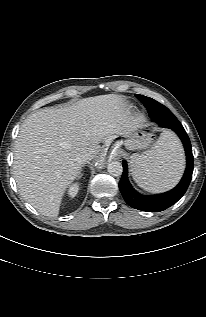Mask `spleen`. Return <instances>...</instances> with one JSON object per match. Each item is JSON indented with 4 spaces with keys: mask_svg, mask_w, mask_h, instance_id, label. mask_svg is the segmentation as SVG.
Here are the masks:
<instances>
[{
    "mask_svg": "<svg viewBox=\"0 0 206 317\" xmlns=\"http://www.w3.org/2000/svg\"><path fill=\"white\" fill-rule=\"evenodd\" d=\"M134 181L146 191L163 192L174 187L184 169V153L180 141L170 131L161 134L153 147L130 160Z\"/></svg>",
    "mask_w": 206,
    "mask_h": 317,
    "instance_id": "obj_1",
    "label": "spleen"
}]
</instances>
